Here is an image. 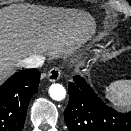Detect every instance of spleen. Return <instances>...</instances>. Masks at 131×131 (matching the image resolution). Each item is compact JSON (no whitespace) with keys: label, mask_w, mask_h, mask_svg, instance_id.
<instances>
[{"label":"spleen","mask_w":131,"mask_h":131,"mask_svg":"<svg viewBox=\"0 0 131 131\" xmlns=\"http://www.w3.org/2000/svg\"><path fill=\"white\" fill-rule=\"evenodd\" d=\"M106 97L115 105L124 107L131 104V80H118L109 85Z\"/></svg>","instance_id":"3e777b00"}]
</instances>
